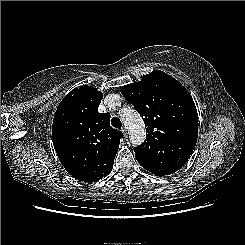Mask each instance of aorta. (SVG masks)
<instances>
[{"label": "aorta", "mask_w": 245, "mask_h": 245, "mask_svg": "<svg viewBox=\"0 0 245 245\" xmlns=\"http://www.w3.org/2000/svg\"><path fill=\"white\" fill-rule=\"evenodd\" d=\"M121 118L127 127L133 145H140L144 142L146 131L144 123L139 114L133 109H124Z\"/></svg>", "instance_id": "aorta-1"}]
</instances>
